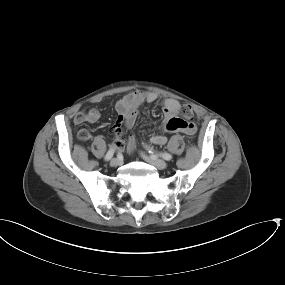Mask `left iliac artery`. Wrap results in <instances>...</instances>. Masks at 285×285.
Instances as JSON below:
<instances>
[{"label": "left iliac artery", "instance_id": "1", "mask_svg": "<svg viewBox=\"0 0 285 285\" xmlns=\"http://www.w3.org/2000/svg\"><path fill=\"white\" fill-rule=\"evenodd\" d=\"M148 151H149V153H152V154L154 153V150L150 147L148 148ZM159 155L167 161H170L172 159V155L169 153H166V152L165 153L159 152Z\"/></svg>", "mask_w": 285, "mask_h": 285}]
</instances>
